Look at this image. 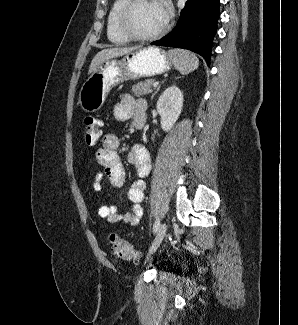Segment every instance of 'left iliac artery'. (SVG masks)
Returning <instances> with one entry per match:
<instances>
[{
    "instance_id": "obj_1",
    "label": "left iliac artery",
    "mask_w": 298,
    "mask_h": 325,
    "mask_svg": "<svg viewBox=\"0 0 298 325\" xmlns=\"http://www.w3.org/2000/svg\"><path fill=\"white\" fill-rule=\"evenodd\" d=\"M159 226H160V221L159 219H157L154 223L153 231L156 232Z\"/></svg>"
}]
</instances>
